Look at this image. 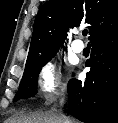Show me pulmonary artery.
Here are the masks:
<instances>
[{"label": "pulmonary artery", "mask_w": 118, "mask_h": 123, "mask_svg": "<svg viewBox=\"0 0 118 123\" xmlns=\"http://www.w3.org/2000/svg\"><path fill=\"white\" fill-rule=\"evenodd\" d=\"M71 47L75 53H82L85 48V45L81 40H75L73 41Z\"/></svg>", "instance_id": "e3ab8cb5"}]
</instances>
